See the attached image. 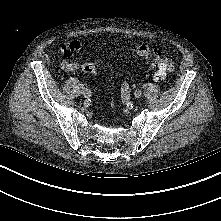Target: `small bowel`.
Masks as SVG:
<instances>
[{"label":"small bowel","instance_id":"1","mask_svg":"<svg viewBox=\"0 0 221 221\" xmlns=\"http://www.w3.org/2000/svg\"><path fill=\"white\" fill-rule=\"evenodd\" d=\"M81 49H82V44L77 41H72L61 47V51L65 57V59H63L61 62V67L63 70L67 72H74L81 67L79 63L71 62L68 60V58L71 57L73 53L79 52Z\"/></svg>","mask_w":221,"mask_h":221}]
</instances>
